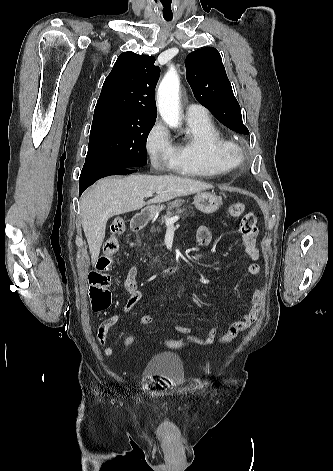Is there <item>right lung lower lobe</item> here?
<instances>
[{
	"instance_id": "obj_1",
	"label": "right lung lower lobe",
	"mask_w": 333,
	"mask_h": 471,
	"mask_svg": "<svg viewBox=\"0 0 333 471\" xmlns=\"http://www.w3.org/2000/svg\"><path fill=\"white\" fill-rule=\"evenodd\" d=\"M135 169L118 166H84L79 178V194L96 182L98 179L110 175H126L135 172Z\"/></svg>"
}]
</instances>
